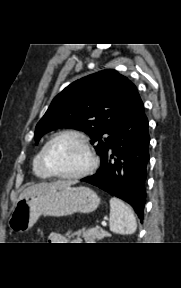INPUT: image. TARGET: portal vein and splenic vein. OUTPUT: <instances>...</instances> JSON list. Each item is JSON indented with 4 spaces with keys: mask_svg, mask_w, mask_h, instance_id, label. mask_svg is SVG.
Returning a JSON list of instances; mask_svg holds the SVG:
<instances>
[{
    "mask_svg": "<svg viewBox=\"0 0 181 288\" xmlns=\"http://www.w3.org/2000/svg\"><path fill=\"white\" fill-rule=\"evenodd\" d=\"M102 226H103V227H106V226H107V223H106L105 221H103V222H102Z\"/></svg>",
    "mask_w": 181,
    "mask_h": 288,
    "instance_id": "1",
    "label": "portal vein and splenic vein"
}]
</instances>
